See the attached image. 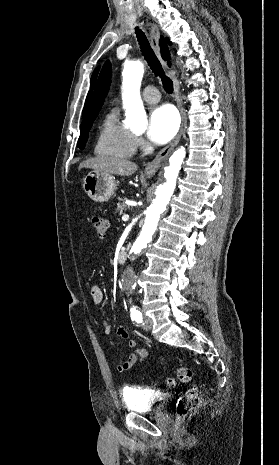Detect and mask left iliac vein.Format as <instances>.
Masks as SVG:
<instances>
[{"instance_id":"obj_1","label":"left iliac vein","mask_w":279,"mask_h":465,"mask_svg":"<svg viewBox=\"0 0 279 465\" xmlns=\"http://www.w3.org/2000/svg\"><path fill=\"white\" fill-rule=\"evenodd\" d=\"M152 326H153V321L150 318H145L142 323L143 329L145 331H150L152 329Z\"/></svg>"}]
</instances>
